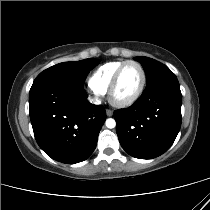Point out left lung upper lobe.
<instances>
[{
	"mask_svg": "<svg viewBox=\"0 0 210 210\" xmlns=\"http://www.w3.org/2000/svg\"><path fill=\"white\" fill-rule=\"evenodd\" d=\"M134 60L140 62L143 66L146 72L147 84L153 82L154 80L162 76L172 73V71L167 66L152 58L135 57Z\"/></svg>",
	"mask_w": 210,
	"mask_h": 210,
	"instance_id": "left-lung-upper-lobe-1",
	"label": "left lung upper lobe"
}]
</instances>
